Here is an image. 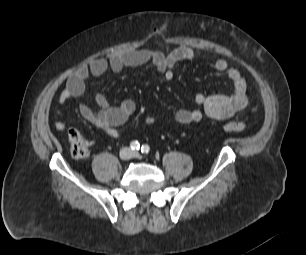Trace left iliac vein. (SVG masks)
<instances>
[{"label":"left iliac vein","mask_w":306,"mask_h":255,"mask_svg":"<svg viewBox=\"0 0 306 255\" xmlns=\"http://www.w3.org/2000/svg\"><path fill=\"white\" fill-rule=\"evenodd\" d=\"M133 157H139V153L138 152H133Z\"/></svg>","instance_id":"1"}]
</instances>
